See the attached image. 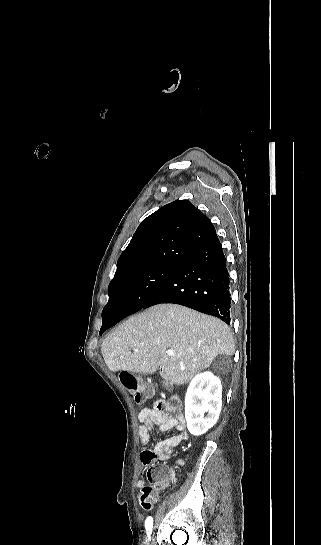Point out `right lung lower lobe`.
<instances>
[{
  "label": "right lung lower lobe",
  "instance_id": "98d812e1",
  "mask_svg": "<svg viewBox=\"0 0 321 545\" xmlns=\"http://www.w3.org/2000/svg\"><path fill=\"white\" fill-rule=\"evenodd\" d=\"M160 303L180 304L230 324L229 274L217 235L190 256L143 308ZM102 315L107 325L100 335L125 318L115 305H106Z\"/></svg>",
  "mask_w": 321,
  "mask_h": 545
}]
</instances>
